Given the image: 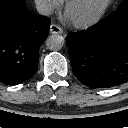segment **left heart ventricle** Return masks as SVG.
<instances>
[{"label": "left heart ventricle", "mask_w": 128, "mask_h": 128, "mask_svg": "<svg viewBox=\"0 0 128 128\" xmlns=\"http://www.w3.org/2000/svg\"><path fill=\"white\" fill-rule=\"evenodd\" d=\"M105 0H80L71 10L70 18L84 19L94 14Z\"/></svg>", "instance_id": "left-heart-ventricle-1"}]
</instances>
